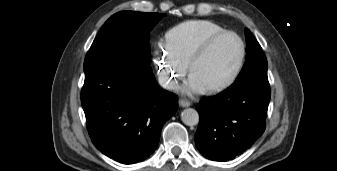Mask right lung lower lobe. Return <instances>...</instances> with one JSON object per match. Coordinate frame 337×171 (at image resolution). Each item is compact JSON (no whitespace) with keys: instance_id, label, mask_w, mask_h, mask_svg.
Instances as JSON below:
<instances>
[{"instance_id":"right-lung-lower-lobe-1","label":"right lung lower lobe","mask_w":337,"mask_h":171,"mask_svg":"<svg viewBox=\"0 0 337 171\" xmlns=\"http://www.w3.org/2000/svg\"><path fill=\"white\" fill-rule=\"evenodd\" d=\"M81 103L95 147L116 161L133 164L155 151L178 98L158 86L150 66L110 60L85 70Z\"/></svg>"}]
</instances>
